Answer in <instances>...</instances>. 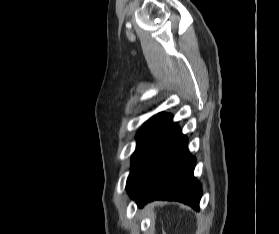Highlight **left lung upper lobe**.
I'll return each mask as SVG.
<instances>
[{
    "label": "left lung upper lobe",
    "mask_w": 279,
    "mask_h": 234,
    "mask_svg": "<svg viewBox=\"0 0 279 234\" xmlns=\"http://www.w3.org/2000/svg\"><path fill=\"white\" fill-rule=\"evenodd\" d=\"M153 119H154V116L152 118H150L137 133V148H136V151L134 152V154L132 156V163H133L135 154H136V152H137V150H138V148H139V146L142 142V139H143L147 129L149 128L151 122L153 121Z\"/></svg>",
    "instance_id": "obj_1"
}]
</instances>
